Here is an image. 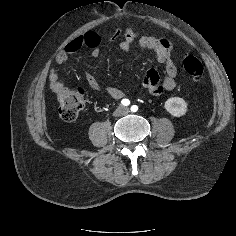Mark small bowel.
I'll return each mask as SVG.
<instances>
[{
    "label": "small bowel",
    "instance_id": "c3829d8e",
    "mask_svg": "<svg viewBox=\"0 0 236 236\" xmlns=\"http://www.w3.org/2000/svg\"><path fill=\"white\" fill-rule=\"evenodd\" d=\"M119 35L120 30L117 29L109 35V38L115 40ZM101 41V34L95 31H88L84 34L78 35L67 44L64 50L57 54L56 62L62 64L71 56L83 49H88L93 57H97L100 53L99 48ZM135 42H138V45L142 50L154 52L157 61L164 66L163 78L160 77L156 69H149L145 73L142 80L143 88L153 96H161L166 91L173 90L176 87L178 69L172 60V41L165 36H145L139 34V32L132 27L125 28L123 39L119 43L120 49L124 52H130ZM85 80L91 89L96 91L103 89L102 85L91 73L85 74ZM49 85L51 90L54 92H57L61 87H63L58 73L54 68L49 72ZM104 90L110 97L116 100L123 98L125 95L124 91L112 85L106 86Z\"/></svg>",
    "mask_w": 236,
    "mask_h": 236
}]
</instances>
